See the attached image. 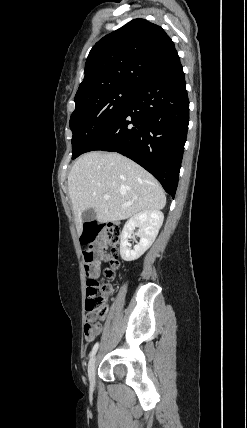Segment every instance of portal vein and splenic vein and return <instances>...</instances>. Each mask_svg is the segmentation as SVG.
Listing matches in <instances>:
<instances>
[{"label":"portal vein and splenic vein","instance_id":"portal-vein-and-splenic-vein-1","mask_svg":"<svg viewBox=\"0 0 247 428\" xmlns=\"http://www.w3.org/2000/svg\"><path fill=\"white\" fill-rule=\"evenodd\" d=\"M110 198V196L109 195H104V199L105 200H108Z\"/></svg>","mask_w":247,"mask_h":428}]
</instances>
